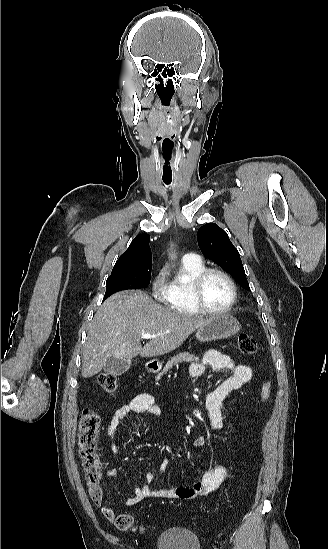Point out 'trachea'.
Returning a JSON list of instances; mask_svg holds the SVG:
<instances>
[{
	"label": "trachea",
	"instance_id": "1",
	"mask_svg": "<svg viewBox=\"0 0 328 549\" xmlns=\"http://www.w3.org/2000/svg\"><path fill=\"white\" fill-rule=\"evenodd\" d=\"M164 183H165L166 185H169V184L171 183V181H165V180H164Z\"/></svg>",
	"mask_w": 328,
	"mask_h": 549
}]
</instances>
